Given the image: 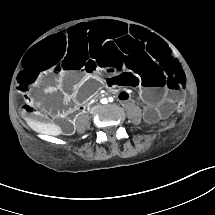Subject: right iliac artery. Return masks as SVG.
Listing matches in <instances>:
<instances>
[{
	"label": "right iliac artery",
	"instance_id": "right-iliac-artery-1",
	"mask_svg": "<svg viewBox=\"0 0 215 215\" xmlns=\"http://www.w3.org/2000/svg\"><path fill=\"white\" fill-rule=\"evenodd\" d=\"M101 103H102V104H106V103H107V99H106V98L102 99V100H101Z\"/></svg>",
	"mask_w": 215,
	"mask_h": 215
}]
</instances>
